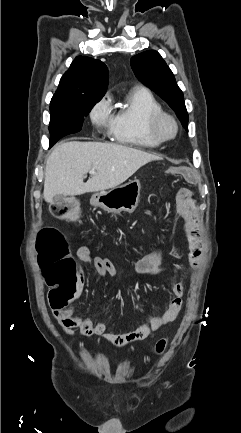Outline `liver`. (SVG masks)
I'll use <instances>...</instances> for the list:
<instances>
[{
    "instance_id": "obj_1",
    "label": "liver",
    "mask_w": 241,
    "mask_h": 433,
    "mask_svg": "<svg viewBox=\"0 0 241 433\" xmlns=\"http://www.w3.org/2000/svg\"><path fill=\"white\" fill-rule=\"evenodd\" d=\"M160 160L147 152L110 143L67 142L58 144L46 161L43 196H74L115 188L145 164ZM96 175L83 182L84 175Z\"/></svg>"
}]
</instances>
